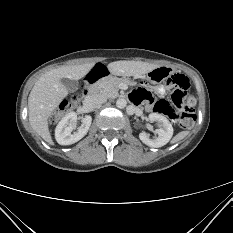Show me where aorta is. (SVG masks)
Returning a JSON list of instances; mask_svg holds the SVG:
<instances>
[{"label": "aorta", "instance_id": "aorta-1", "mask_svg": "<svg viewBox=\"0 0 233 233\" xmlns=\"http://www.w3.org/2000/svg\"><path fill=\"white\" fill-rule=\"evenodd\" d=\"M126 105H127V102H126V100L123 99V98H120V99H118V100L116 101V107H117V108L123 109V108L126 107Z\"/></svg>", "mask_w": 233, "mask_h": 233}]
</instances>
